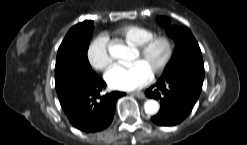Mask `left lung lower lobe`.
Segmentation results:
<instances>
[{
  "instance_id": "1",
  "label": "left lung lower lobe",
  "mask_w": 247,
  "mask_h": 145,
  "mask_svg": "<svg viewBox=\"0 0 247 145\" xmlns=\"http://www.w3.org/2000/svg\"><path fill=\"white\" fill-rule=\"evenodd\" d=\"M204 80V68L182 67L163 74L145 91L149 98L160 100L161 109L152 121L161 126L182 122L194 107Z\"/></svg>"
}]
</instances>
